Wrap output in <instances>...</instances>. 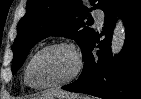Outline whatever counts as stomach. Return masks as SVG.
Here are the masks:
<instances>
[{"instance_id": "stomach-1", "label": "stomach", "mask_w": 141, "mask_h": 99, "mask_svg": "<svg viewBox=\"0 0 141 99\" xmlns=\"http://www.w3.org/2000/svg\"><path fill=\"white\" fill-rule=\"evenodd\" d=\"M36 99H52V98H50V97L47 96V95H43V96H40V97H38V98H36Z\"/></svg>"}]
</instances>
